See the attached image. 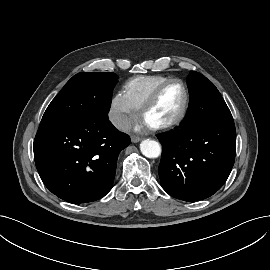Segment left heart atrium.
I'll use <instances>...</instances> for the list:
<instances>
[{
    "label": "left heart atrium",
    "instance_id": "left-heart-atrium-1",
    "mask_svg": "<svg viewBox=\"0 0 270 270\" xmlns=\"http://www.w3.org/2000/svg\"><path fill=\"white\" fill-rule=\"evenodd\" d=\"M148 124L146 122H140L137 126H136V129H142L144 127H147Z\"/></svg>",
    "mask_w": 270,
    "mask_h": 270
}]
</instances>
